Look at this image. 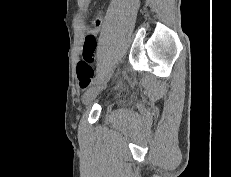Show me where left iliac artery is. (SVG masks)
<instances>
[{
    "mask_svg": "<svg viewBox=\"0 0 231 177\" xmlns=\"http://www.w3.org/2000/svg\"><path fill=\"white\" fill-rule=\"evenodd\" d=\"M100 76H101V74H100V73H98V74L96 75V77L94 78L93 83H95L96 81H98V79L100 78Z\"/></svg>",
    "mask_w": 231,
    "mask_h": 177,
    "instance_id": "44dca946",
    "label": "left iliac artery"
}]
</instances>
